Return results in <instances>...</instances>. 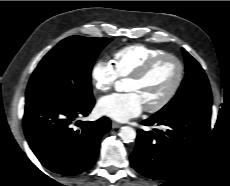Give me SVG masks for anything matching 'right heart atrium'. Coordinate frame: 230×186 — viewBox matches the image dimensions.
Listing matches in <instances>:
<instances>
[{
  "label": "right heart atrium",
  "mask_w": 230,
  "mask_h": 186,
  "mask_svg": "<svg viewBox=\"0 0 230 186\" xmlns=\"http://www.w3.org/2000/svg\"><path fill=\"white\" fill-rule=\"evenodd\" d=\"M90 78L96 91L107 92L115 85L118 76L109 61L100 59L92 66Z\"/></svg>",
  "instance_id": "right-heart-atrium-1"
}]
</instances>
